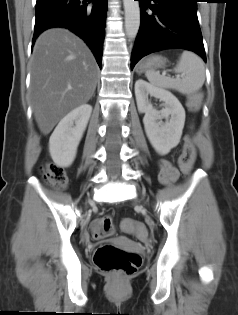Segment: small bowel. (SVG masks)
Wrapping results in <instances>:
<instances>
[{
	"label": "small bowel",
	"instance_id": "small-bowel-1",
	"mask_svg": "<svg viewBox=\"0 0 238 315\" xmlns=\"http://www.w3.org/2000/svg\"><path fill=\"white\" fill-rule=\"evenodd\" d=\"M179 176V172L173 164L167 160L160 162L159 181L164 185L174 182ZM141 226V225H140Z\"/></svg>",
	"mask_w": 238,
	"mask_h": 315
}]
</instances>
